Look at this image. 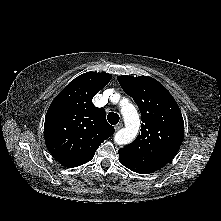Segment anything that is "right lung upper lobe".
<instances>
[{"label":"right lung upper lobe","mask_w":221,"mask_h":221,"mask_svg":"<svg viewBox=\"0 0 221 221\" xmlns=\"http://www.w3.org/2000/svg\"><path fill=\"white\" fill-rule=\"evenodd\" d=\"M112 76L87 72L72 80L53 100L44 126L45 143L65 167H77L93 159L100 144L114 133L103 108L93 105L95 94Z\"/></svg>","instance_id":"right-lung-upper-lobe-1"}]
</instances>
